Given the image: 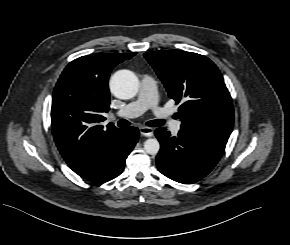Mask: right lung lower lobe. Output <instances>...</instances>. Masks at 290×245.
Here are the masks:
<instances>
[{
  "instance_id": "obj_1",
  "label": "right lung lower lobe",
  "mask_w": 290,
  "mask_h": 245,
  "mask_svg": "<svg viewBox=\"0 0 290 245\" xmlns=\"http://www.w3.org/2000/svg\"><path fill=\"white\" fill-rule=\"evenodd\" d=\"M138 137L139 130L137 128H123L120 143L96 166L77 174L84 179L99 184L114 179L122 173L125 160L137 143Z\"/></svg>"
}]
</instances>
